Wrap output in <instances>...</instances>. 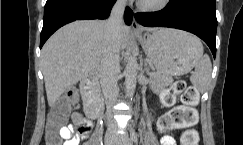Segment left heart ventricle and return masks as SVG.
I'll use <instances>...</instances> for the list:
<instances>
[{
  "mask_svg": "<svg viewBox=\"0 0 243 145\" xmlns=\"http://www.w3.org/2000/svg\"><path fill=\"white\" fill-rule=\"evenodd\" d=\"M141 1H143V2H145V3H155V2H157L158 0H141Z\"/></svg>",
  "mask_w": 243,
  "mask_h": 145,
  "instance_id": "b2bd125f",
  "label": "left heart ventricle"
}]
</instances>
